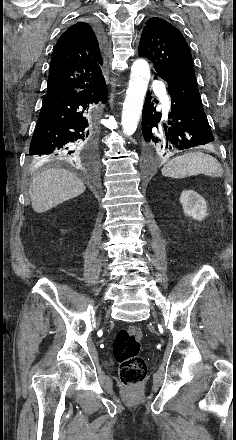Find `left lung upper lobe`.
<instances>
[{"instance_id": "obj_1", "label": "left lung upper lobe", "mask_w": 236, "mask_h": 440, "mask_svg": "<svg viewBox=\"0 0 236 440\" xmlns=\"http://www.w3.org/2000/svg\"><path fill=\"white\" fill-rule=\"evenodd\" d=\"M138 54L153 63L157 76L164 81L179 76L195 77L191 52L184 36L164 19L154 17L146 22Z\"/></svg>"}]
</instances>
